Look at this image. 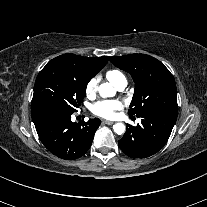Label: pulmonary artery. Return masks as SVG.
<instances>
[{
  "label": "pulmonary artery",
  "instance_id": "pulmonary-artery-1",
  "mask_svg": "<svg viewBox=\"0 0 207 207\" xmlns=\"http://www.w3.org/2000/svg\"><path fill=\"white\" fill-rule=\"evenodd\" d=\"M127 86V82H120L118 85H116V89L118 91H123Z\"/></svg>",
  "mask_w": 207,
  "mask_h": 207
}]
</instances>
